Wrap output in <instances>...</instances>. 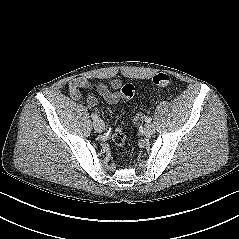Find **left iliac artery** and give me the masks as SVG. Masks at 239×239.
I'll use <instances>...</instances> for the list:
<instances>
[{
	"label": "left iliac artery",
	"instance_id": "left-iliac-artery-1",
	"mask_svg": "<svg viewBox=\"0 0 239 239\" xmlns=\"http://www.w3.org/2000/svg\"><path fill=\"white\" fill-rule=\"evenodd\" d=\"M145 121L149 123V122H151V121H152V118H151V117H149V116H147V117L145 118Z\"/></svg>",
	"mask_w": 239,
	"mask_h": 239
}]
</instances>
